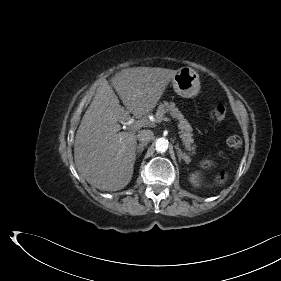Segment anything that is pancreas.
Wrapping results in <instances>:
<instances>
[{
  "label": "pancreas",
  "instance_id": "1",
  "mask_svg": "<svg viewBox=\"0 0 281 281\" xmlns=\"http://www.w3.org/2000/svg\"><path fill=\"white\" fill-rule=\"evenodd\" d=\"M166 113H169L172 118H175L179 121L178 128L180 129V137L183 141V144L185 145V148L190 151V154H195L196 146L192 145L194 143L193 139V129L189 122L184 118V115L178 110V108L175 107V104L173 102H164L161 103L156 111V120L158 122H161L164 118V115Z\"/></svg>",
  "mask_w": 281,
  "mask_h": 281
}]
</instances>
